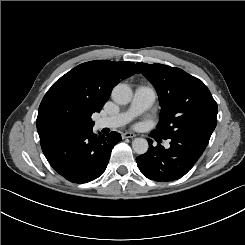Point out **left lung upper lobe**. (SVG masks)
Masks as SVG:
<instances>
[{
	"label": "left lung upper lobe",
	"instance_id": "obj_1",
	"mask_svg": "<svg viewBox=\"0 0 245 245\" xmlns=\"http://www.w3.org/2000/svg\"><path fill=\"white\" fill-rule=\"evenodd\" d=\"M157 90L161 112L154 132L162 139L183 138L207 146L217 124V103L199 79L179 68L137 63Z\"/></svg>",
	"mask_w": 245,
	"mask_h": 245
}]
</instances>
